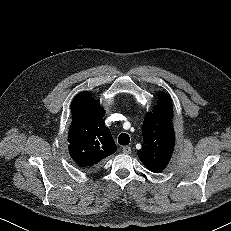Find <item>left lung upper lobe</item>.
<instances>
[{
  "mask_svg": "<svg viewBox=\"0 0 231 231\" xmlns=\"http://www.w3.org/2000/svg\"><path fill=\"white\" fill-rule=\"evenodd\" d=\"M172 116V101L165 93H161L155 110L144 118L143 148L137 153L151 172L163 171L171 159L175 144Z\"/></svg>",
  "mask_w": 231,
  "mask_h": 231,
  "instance_id": "obj_1",
  "label": "left lung upper lobe"
}]
</instances>
